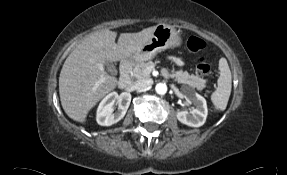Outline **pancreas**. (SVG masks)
<instances>
[{
    "label": "pancreas",
    "mask_w": 287,
    "mask_h": 175,
    "mask_svg": "<svg viewBox=\"0 0 287 175\" xmlns=\"http://www.w3.org/2000/svg\"><path fill=\"white\" fill-rule=\"evenodd\" d=\"M152 65H154L152 61L138 63L132 70L133 76L137 79L148 78L150 76V73L146 71V69ZM171 78H173L178 83L187 84L190 87L196 88L199 91L203 90L206 87L205 79L200 78L197 75H190L187 71L172 70Z\"/></svg>",
    "instance_id": "1"
}]
</instances>
